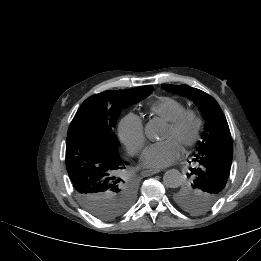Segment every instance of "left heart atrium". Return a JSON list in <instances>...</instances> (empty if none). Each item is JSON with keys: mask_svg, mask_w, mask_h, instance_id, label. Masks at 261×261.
<instances>
[{"mask_svg": "<svg viewBox=\"0 0 261 261\" xmlns=\"http://www.w3.org/2000/svg\"><path fill=\"white\" fill-rule=\"evenodd\" d=\"M181 144L170 137L149 145L142 155V164L148 168H164L176 161L181 155Z\"/></svg>", "mask_w": 261, "mask_h": 261, "instance_id": "left-heart-atrium-1", "label": "left heart atrium"}]
</instances>
